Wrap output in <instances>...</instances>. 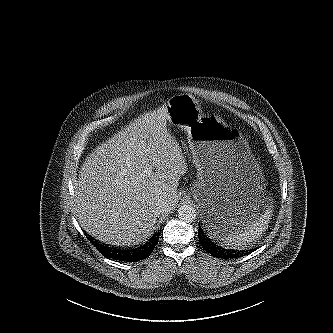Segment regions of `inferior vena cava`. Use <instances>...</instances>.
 Masks as SVG:
<instances>
[{"instance_id": "obj_1", "label": "inferior vena cava", "mask_w": 333, "mask_h": 333, "mask_svg": "<svg viewBox=\"0 0 333 333\" xmlns=\"http://www.w3.org/2000/svg\"><path fill=\"white\" fill-rule=\"evenodd\" d=\"M167 210H168V208H167L166 202L164 200H159L157 207H156L157 214H162Z\"/></svg>"}]
</instances>
